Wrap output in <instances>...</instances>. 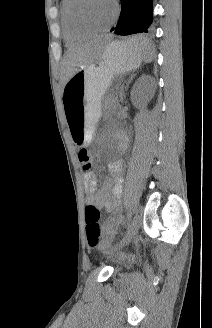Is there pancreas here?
Segmentation results:
<instances>
[{"label":"pancreas","mask_w":212,"mask_h":328,"mask_svg":"<svg viewBox=\"0 0 212 328\" xmlns=\"http://www.w3.org/2000/svg\"><path fill=\"white\" fill-rule=\"evenodd\" d=\"M104 107L108 110H115L118 107L116 100L109 96L104 101Z\"/></svg>","instance_id":"obj_1"}]
</instances>
